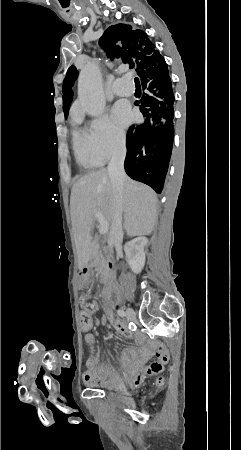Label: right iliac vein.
I'll use <instances>...</instances> for the list:
<instances>
[{"label":"right iliac vein","mask_w":241,"mask_h":450,"mask_svg":"<svg viewBox=\"0 0 241 450\" xmlns=\"http://www.w3.org/2000/svg\"><path fill=\"white\" fill-rule=\"evenodd\" d=\"M126 316H127V319H128L129 321L134 320V319H135V312H134V310H133L132 308H127V310H126Z\"/></svg>","instance_id":"63e3f726"}]
</instances>
